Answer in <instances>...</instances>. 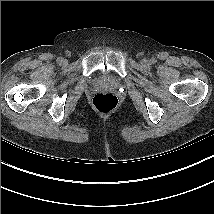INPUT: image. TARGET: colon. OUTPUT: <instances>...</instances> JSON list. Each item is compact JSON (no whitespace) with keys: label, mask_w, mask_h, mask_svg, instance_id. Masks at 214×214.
Returning a JSON list of instances; mask_svg holds the SVG:
<instances>
[{"label":"colon","mask_w":214,"mask_h":214,"mask_svg":"<svg viewBox=\"0 0 214 214\" xmlns=\"http://www.w3.org/2000/svg\"><path fill=\"white\" fill-rule=\"evenodd\" d=\"M94 108L101 113H109L118 106V99L112 93H98L93 98Z\"/></svg>","instance_id":"5ec220e1"}]
</instances>
